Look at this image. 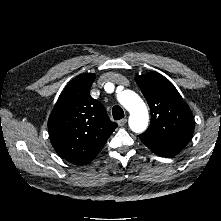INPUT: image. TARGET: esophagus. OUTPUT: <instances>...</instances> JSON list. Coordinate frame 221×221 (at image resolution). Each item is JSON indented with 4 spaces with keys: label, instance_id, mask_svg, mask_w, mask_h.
<instances>
[{
    "label": "esophagus",
    "instance_id": "obj_1",
    "mask_svg": "<svg viewBox=\"0 0 221 221\" xmlns=\"http://www.w3.org/2000/svg\"><path fill=\"white\" fill-rule=\"evenodd\" d=\"M127 123V119L126 118H123L121 120L118 121V125L120 127L124 126L125 124Z\"/></svg>",
    "mask_w": 221,
    "mask_h": 221
}]
</instances>
